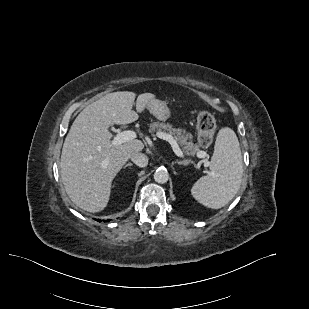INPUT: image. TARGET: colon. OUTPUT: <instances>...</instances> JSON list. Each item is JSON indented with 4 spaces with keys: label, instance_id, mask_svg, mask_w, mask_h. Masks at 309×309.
I'll return each instance as SVG.
<instances>
[{
    "label": "colon",
    "instance_id": "obj_1",
    "mask_svg": "<svg viewBox=\"0 0 309 309\" xmlns=\"http://www.w3.org/2000/svg\"><path fill=\"white\" fill-rule=\"evenodd\" d=\"M216 130V121L214 116L207 112L202 111L197 116V133L198 143L202 147H208L213 140Z\"/></svg>",
    "mask_w": 309,
    "mask_h": 309
}]
</instances>
